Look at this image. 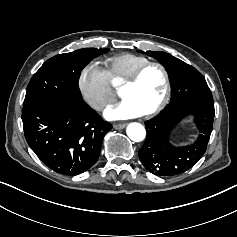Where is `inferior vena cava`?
I'll return each mask as SVG.
<instances>
[{
    "mask_svg": "<svg viewBox=\"0 0 237 237\" xmlns=\"http://www.w3.org/2000/svg\"><path fill=\"white\" fill-rule=\"evenodd\" d=\"M105 105H106L105 101H98V102L94 103L93 108L99 110V109H102L103 107H105Z\"/></svg>",
    "mask_w": 237,
    "mask_h": 237,
    "instance_id": "obj_1",
    "label": "inferior vena cava"
}]
</instances>
